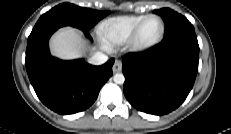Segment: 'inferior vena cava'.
Instances as JSON below:
<instances>
[{"mask_svg":"<svg viewBox=\"0 0 231 134\" xmlns=\"http://www.w3.org/2000/svg\"><path fill=\"white\" fill-rule=\"evenodd\" d=\"M108 57L107 55L101 53V52H96L93 54V56L89 59V63L92 65H102L105 62H107Z\"/></svg>","mask_w":231,"mask_h":134,"instance_id":"obj_1","label":"inferior vena cava"}]
</instances>
